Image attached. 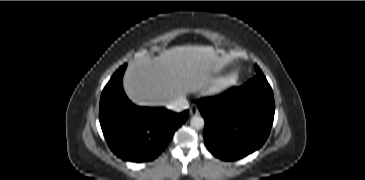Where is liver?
<instances>
[{"label":"liver","mask_w":365,"mask_h":180,"mask_svg":"<svg viewBox=\"0 0 365 180\" xmlns=\"http://www.w3.org/2000/svg\"><path fill=\"white\" fill-rule=\"evenodd\" d=\"M223 65L212 46H176L129 66L123 85L133 103L164 106L194 92L204 79L221 70Z\"/></svg>","instance_id":"obj_1"}]
</instances>
